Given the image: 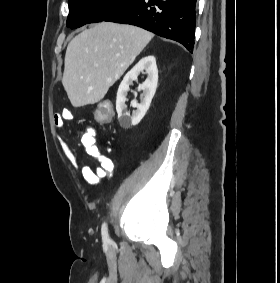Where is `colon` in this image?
Segmentation results:
<instances>
[{"label": "colon", "instance_id": "1", "mask_svg": "<svg viewBox=\"0 0 280 283\" xmlns=\"http://www.w3.org/2000/svg\"><path fill=\"white\" fill-rule=\"evenodd\" d=\"M114 108L108 102H102L97 111H95L94 120L97 124H110ZM85 132H96V127H85Z\"/></svg>", "mask_w": 280, "mask_h": 283}]
</instances>
